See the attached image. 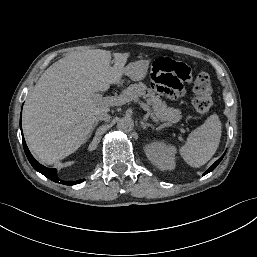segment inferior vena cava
Listing matches in <instances>:
<instances>
[{
    "instance_id": "obj_1",
    "label": "inferior vena cava",
    "mask_w": 257,
    "mask_h": 257,
    "mask_svg": "<svg viewBox=\"0 0 257 257\" xmlns=\"http://www.w3.org/2000/svg\"><path fill=\"white\" fill-rule=\"evenodd\" d=\"M110 115L107 112H100L97 114L96 116V121L100 120V121H109L110 120Z\"/></svg>"
}]
</instances>
